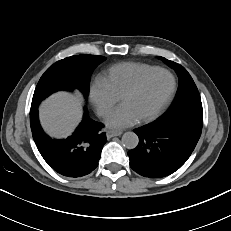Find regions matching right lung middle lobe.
Here are the masks:
<instances>
[{"mask_svg":"<svg viewBox=\"0 0 231 231\" xmlns=\"http://www.w3.org/2000/svg\"><path fill=\"white\" fill-rule=\"evenodd\" d=\"M104 60L103 56L76 55L54 63L40 78L34 91L31 107H38L43 99L59 90L76 88L86 99L90 74Z\"/></svg>","mask_w":231,"mask_h":231,"instance_id":"obj_1","label":"right lung middle lobe"}]
</instances>
